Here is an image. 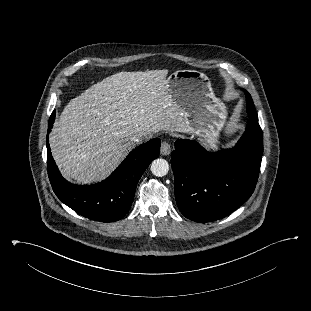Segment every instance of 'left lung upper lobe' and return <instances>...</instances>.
Masks as SVG:
<instances>
[{
  "label": "left lung upper lobe",
  "mask_w": 311,
  "mask_h": 311,
  "mask_svg": "<svg viewBox=\"0 0 311 311\" xmlns=\"http://www.w3.org/2000/svg\"><path fill=\"white\" fill-rule=\"evenodd\" d=\"M246 97H247V113H248V115L250 117L258 118V116L256 114V110H255L253 100H252L250 94L247 92H246Z\"/></svg>",
  "instance_id": "1"
}]
</instances>
